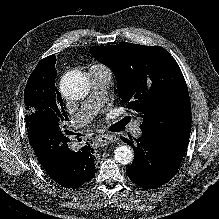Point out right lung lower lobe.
Listing matches in <instances>:
<instances>
[{"mask_svg":"<svg viewBox=\"0 0 219 219\" xmlns=\"http://www.w3.org/2000/svg\"><path fill=\"white\" fill-rule=\"evenodd\" d=\"M27 132L40 164L55 182L76 188L93 178L95 156L88 143L77 152L71 151L69 138L49 123L30 126Z\"/></svg>","mask_w":219,"mask_h":219,"instance_id":"1","label":"right lung lower lobe"}]
</instances>
